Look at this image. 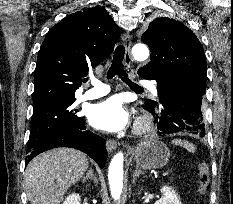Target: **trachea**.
<instances>
[{
	"label": "trachea",
	"instance_id": "1",
	"mask_svg": "<svg viewBox=\"0 0 233 204\" xmlns=\"http://www.w3.org/2000/svg\"><path fill=\"white\" fill-rule=\"evenodd\" d=\"M124 54H125L124 46L118 45L115 49L112 64H111V67L109 68L108 73H107V78L111 79L117 75L126 84H128L130 86V88H132L134 90H143L142 87L136 85L135 83L131 82V80L128 79V75L125 72V70L123 68V64H122Z\"/></svg>",
	"mask_w": 233,
	"mask_h": 204
}]
</instances>
